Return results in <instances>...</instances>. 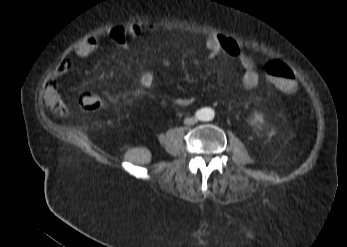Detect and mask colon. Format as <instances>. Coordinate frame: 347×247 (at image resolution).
<instances>
[{
    "label": "colon",
    "mask_w": 347,
    "mask_h": 247,
    "mask_svg": "<svg viewBox=\"0 0 347 247\" xmlns=\"http://www.w3.org/2000/svg\"><path fill=\"white\" fill-rule=\"evenodd\" d=\"M271 86L281 93H293L297 89V82L291 68L283 62H271L266 67ZM102 100L94 92L88 91L81 95L80 106L91 112L101 107Z\"/></svg>",
    "instance_id": "obj_1"
}]
</instances>
